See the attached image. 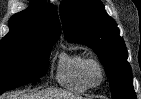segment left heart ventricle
I'll return each instance as SVG.
<instances>
[{"label": "left heart ventricle", "mask_w": 141, "mask_h": 99, "mask_svg": "<svg viewBox=\"0 0 141 99\" xmlns=\"http://www.w3.org/2000/svg\"><path fill=\"white\" fill-rule=\"evenodd\" d=\"M89 76L93 82H98L100 79V72L95 66H92L89 70Z\"/></svg>", "instance_id": "obj_1"}]
</instances>
